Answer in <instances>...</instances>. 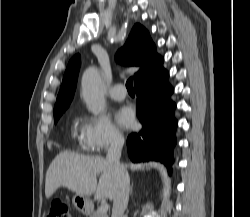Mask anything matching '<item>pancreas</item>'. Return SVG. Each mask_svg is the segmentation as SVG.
I'll return each instance as SVG.
<instances>
[{
  "label": "pancreas",
  "instance_id": "obj_1",
  "mask_svg": "<svg viewBox=\"0 0 250 217\" xmlns=\"http://www.w3.org/2000/svg\"><path fill=\"white\" fill-rule=\"evenodd\" d=\"M90 217H108V215H107V213L100 212V210L97 209L94 212H92Z\"/></svg>",
  "mask_w": 250,
  "mask_h": 217
}]
</instances>
